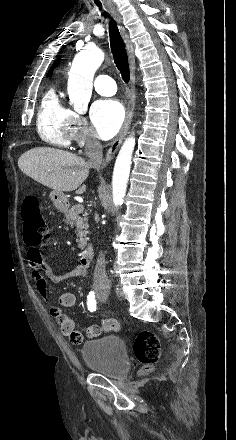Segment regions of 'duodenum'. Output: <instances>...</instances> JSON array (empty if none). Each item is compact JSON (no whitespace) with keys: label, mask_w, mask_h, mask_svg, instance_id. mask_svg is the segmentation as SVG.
Here are the masks:
<instances>
[{"label":"duodenum","mask_w":236,"mask_h":440,"mask_svg":"<svg viewBox=\"0 0 236 440\" xmlns=\"http://www.w3.org/2000/svg\"><path fill=\"white\" fill-rule=\"evenodd\" d=\"M93 259V249L92 247H86L81 256V266L83 268L89 267Z\"/></svg>","instance_id":"obj_1"}]
</instances>
